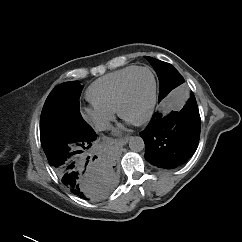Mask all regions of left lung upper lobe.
<instances>
[{"label":"left lung upper lobe","instance_id":"1","mask_svg":"<svg viewBox=\"0 0 242 242\" xmlns=\"http://www.w3.org/2000/svg\"><path fill=\"white\" fill-rule=\"evenodd\" d=\"M146 58L157 72L160 81L159 103L172 89L182 84L184 82V78L171 64L152 57Z\"/></svg>","mask_w":242,"mask_h":242}]
</instances>
